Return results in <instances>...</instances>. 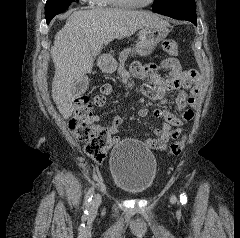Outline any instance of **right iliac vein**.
<instances>
[{"instance_id": "obj_1", "label": "right iliac vein", "mask_w": 240, "mask_h": 238, "mask_svg": "<svg viewBox=\"0 0 240 238\" xmlns=\"http://www.w3.org/2000/svg\"><path fill=\"white\" fill-rule=\"evenodd\" d=\"M100 204H101V196L99 194H95L90 205V213L94 214L97 211Z\"/></svg>"}]
</instances>
